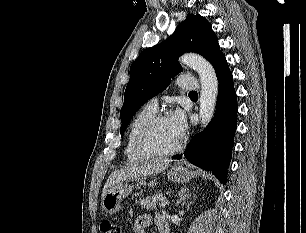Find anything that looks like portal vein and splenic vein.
Returning a JSON list of instances; mask_svg holds the SVG:
<instances>
[{
  "label": "portal vein and splenic vein",
  "mask_w": 306,
  "mask_h": 233,
  "mask_svg": "<svg viewBox=\"0 0 306 233\" xmlns=\"http://www.w3.org/2000/svg\"><path fill=\"white\" fill-rule=\"evenodd\" d=\"M169 204V202L167 201V200H163V201H161L160 203H159V206L160 207H165V206H167Z\"/></svg>",
  "instance_id": "18ae733b"
}]
</instances>
